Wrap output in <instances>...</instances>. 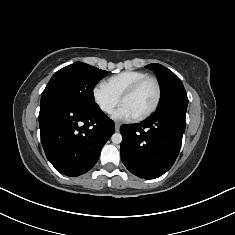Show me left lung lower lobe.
<instances>
[{
    "label": "left lung lower lobe",
    "instance_id": "0a47b994",
    "mask_svg": "<svg viewBox=\"0 0 235 235\" xmlns=\"http://www.w3.org/2000/svg\"><path fill=\"white\" fill-rule=\"evenodd\" d=\"M186 126V111L168 110L140 124H123L121 158L125 167L144 179L158 178L174 164Z\"/></svg>",
    "mask_w": 235,
    "mask_h": 235
}]
</instances>
